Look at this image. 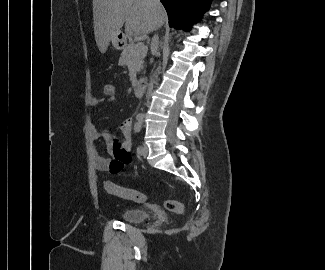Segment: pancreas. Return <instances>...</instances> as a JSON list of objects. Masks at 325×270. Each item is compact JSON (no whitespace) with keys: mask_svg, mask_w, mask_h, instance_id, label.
Returning a JSON list of instances; mask_svg holds the SVG:
<instances>
[{"mask_svg":"<svg viewBox=\"0 0 325 270\" xmlns=\"http://www.w3.org/2000/svg\"><path fill=\"white\" fill-rule=\"evenodd\" d=\"M147 47L141 49L131 41L129 44L125 46L123 52L121 53V57L119 59V65L121 66H131L132 64L136 65V70L140 71L143 67L144 58L147 53Z\"/></svg>","mask_w":325,"mask_h":270,"instance_id":"cf45deb5","label":"pancreas"}]
</instances>
